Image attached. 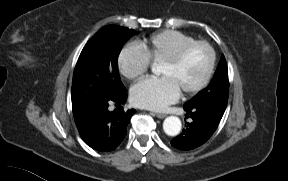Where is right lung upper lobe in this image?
Listing matches in <instances>:
<instances>
[{
	"label": "right lung upper lobe",
	"instance_id": "cb5924a9",
	"mask_svg": "<svg viewBox=\"0 0 288 181\" xmlns=\"http://www.w3.org/2000/svg\"><path fill=\"white\" fill-rule=\"evenodd\" d=\"M89 111H90L89 108H86L83 110H74L73 109V114H74L75 123H76L77 128L82 127V125L85 123V121L88 118Z\"/></svg>",
	"mask_w": 288,
	"mask_h": 181
}]
</instances>
